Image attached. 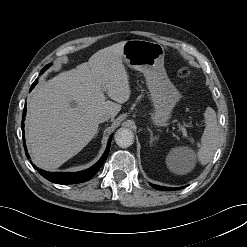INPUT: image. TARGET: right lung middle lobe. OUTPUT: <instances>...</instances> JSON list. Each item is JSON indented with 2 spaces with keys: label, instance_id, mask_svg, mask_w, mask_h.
<instances>
[{
  "label": "right lung middle lobe",
  "instance_id": "1",
  "mask_svg": "<svg viewBox=\"0 0 247 247\" xmlns=\"http://www.w3.org/2000/svg\"><path fill=\"white\" fill-rule=\"evenodd\" d=\"M49 66H50V64H49V65H46V66L43 68V70L41 71V73H43Z\"/></svg>",
  "mask_w": 247,
  "mask_h": 247
}]
</instances>
